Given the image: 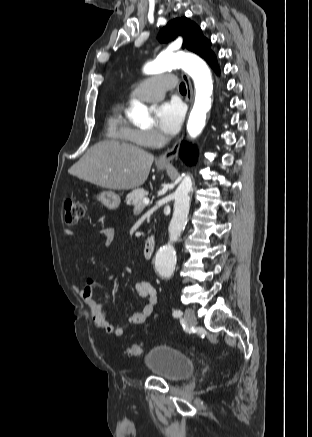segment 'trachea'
Returning a JSON list of instances; mask_svg holds the SVG:
<instances>
[{"mask_svg": "<svg viewBox=\"0 0 312 437\" xmlns=\"http://www.w3.org/2000/svg\"><path fill=\"white\" fill-rule=\"evenodd\" d=\"M179 90L181 93H186V87H185V84L183 82L180 84Z\"/></svg>", "mask_w": 312, "mask_h": 437, "instance_id": "obj_1", "label": "trachea"}]
</instances>
